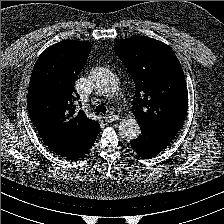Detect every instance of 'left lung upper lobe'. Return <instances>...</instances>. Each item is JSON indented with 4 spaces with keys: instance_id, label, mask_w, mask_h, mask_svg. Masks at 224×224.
Masks as SVG:
<instances>
[{
    "instance_id": "1",
    "label": "left lung upper lobe",
    "mask_w": 224,
    "mask_h": 224,
    "mask_svg": "<svg viewBox=\"0 0 224 224\" xmlns=\"http://www.w3.org/2000/svg\"><path fill=\"white\" fill-rule=\"evenodd\" d=\"M115 52L136 86L134 114L140 129L173 139L188 108L184 73L173 50L145 36L119 41Z\"/></svg>"
}]
</instances>
